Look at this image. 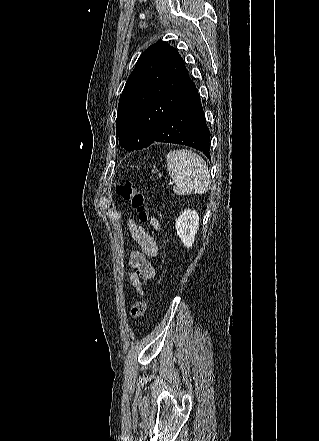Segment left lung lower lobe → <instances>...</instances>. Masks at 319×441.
<instances>
[{
    "label": "left lung lower lobe",
    "instance_id": "0a47b994",
    "mask_svg": "<svg viewBox=\"0 0 319 441\" xmlns=\"http://www.w3.org/2000/svg\"><path fill=\"white\" fill-rule=\"evenodd\" d=\"M209 140L210 132L200 96L192 82L186 94L158 128L152 143L186 145L201 151L210 159Z\"/></svg>",
    "mask_w": 319,
    "mask_h": 441
}]
</instances>
